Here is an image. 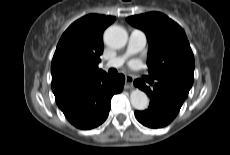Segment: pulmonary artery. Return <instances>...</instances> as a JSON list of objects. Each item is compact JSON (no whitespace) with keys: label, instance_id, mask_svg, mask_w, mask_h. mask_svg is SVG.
<instances>
[{"label":"pulmonary artery","instance_id":"1","mask_svg":"<svg viewBox=\"0 0 230 155\" xmlns=\"http://www.w3.org/2000/svg\"><path fill=\"white\" fill-rule=\"evenodd\" d=\"M145 45H146L145 33L137 29L132 30L130 33L128 46L125 54L110 59L105 64H103V68L105 69L119 68L120 66L123 65L127 57H129L132 54L138 53L145 47Z\"/></svg>","mask_w":230,"mask_h":155}]
</instances>
